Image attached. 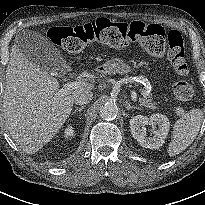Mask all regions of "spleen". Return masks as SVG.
<instances>
[{
  "label": "spleen",
  "instance_id": "spleen-1",
  "mask_svg": "<svg viewBox=\"0 0 205 205\" xmlns=\"http://www.w3.org/2000/svg\"><path fill=\"white\" fill-rule=\"evenodd\" d=\"M203 119V111L192 109L177 120L173 127V137L168 147L169 156L184 151L196 138Z\"/></svg>",
  "mask_w": 205,
  "mask_h": 205
}]
</instances>
